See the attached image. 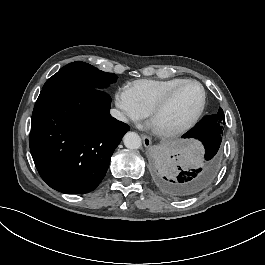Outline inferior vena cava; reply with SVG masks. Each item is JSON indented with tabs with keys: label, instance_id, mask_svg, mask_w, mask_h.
Instances as JSON below:
<instances>
[{
	"label": "inferior vena cava",
	"instance_id": "602c4592",
	"mask_svg": "<svg viewBox=\"0 0 265 265\" xmlns=\"http://www.w3.org/2000/svg\"><path fill=\"white\" fill-rule=\"evenodd\" d=\"M111 115L116 118L117 120L119 121H122V122H127V118L123 115V113H121L119 110L117 109H112L111 110Z\"/></svg>",
	"mask_w": 265,
	"mask_h": 265
}]
</instances>
